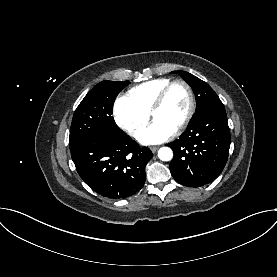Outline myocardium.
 I'll return each mask as SVG.
<instances>
[{"instance_id": "obj_1", "label": "myocardium", "mask_w": 277, "mask_h": 277, "mask_svg": "<svg viewBox=\"0 0 277 277\" xmlns=\"http://www.w3.org/2000/svg\"><path fill=\"white\" fill-rule=\"evenodd\" d=\"M176 85L183 86L186 89L188 96H189V108H188L187 114H186L185 118L183 119V121L175 129L176 132H179L188 126V124L190 123V121L195 113V108H196L195 95H194L193 89L186 81L177 79V80H173L170 83H168L160 91V93L156 97L155 101L153 102V104L149 110V115L151 117H153V115L163 106L170 90Z\"/></svg>"}]
</instances>
